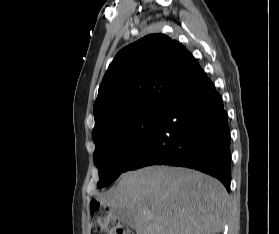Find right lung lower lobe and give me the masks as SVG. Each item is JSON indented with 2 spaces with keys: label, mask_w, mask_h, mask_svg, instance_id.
Instances as JSON below:
<instances>
[{
  "label": "right lung lower lobe",
  "mask_w": 279,
  "mask_h": 234,
  "mask_svg": "<svg viewBox=\"0 0 279 234\" xmlns=\"http://www.w3.org/2000/svg\"><path fill=\"white\" fill-rule=\"evenodd\" d=\"M230 130L221 96L202 70L164 109L125 171L148 165L194 168L230 191Z\"/></svg>",
  "instance_id": "1"
}]
</instances>
